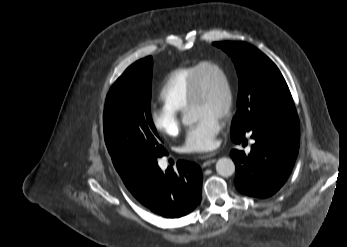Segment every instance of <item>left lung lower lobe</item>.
<instances>
[{"instance_id":"left-lung-lower-lobe-1","label":"left lung lower lobe","mask_w":347,"mask_h":247,"mask_svg":"<svg viewBox=\"0 0 347 247\" xmlns=\"http://www.w3.org/2000/svg\"><path fill=\"white\" fill-rule=\"evenodd\" d=\"M254 140L251 151L232 150L236 165L235 185L246 195L266 198L275 194L288 179L299 150V120L295 115H272L247 131L231 134L234 143Z\"/></svg>"}]
</instances>
